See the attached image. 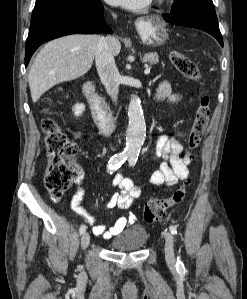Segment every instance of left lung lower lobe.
Returning <instances> with one entry per match:
<instances>
[{
    "label": "left lung lower lobe",
    "mask_w": 247,
    "mask_h": 299,
    "mask_svg": "<svg viewBox=\"0 0 247 299\" xmlns=\"http://www.w3.org/2000/svg\"><path fill=\"white\" fill-rule=\"evenodd\" d=\"M163 18L166 22L173 25L201 29L215 37L220 45L223 46V39L215 10L196 4H189L176 11L163 14Z\"/></svg>",
    "instance_id": "obj_1"
}]
</instances>
